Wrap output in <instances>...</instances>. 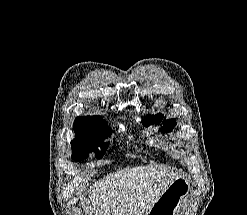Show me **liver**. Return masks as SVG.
Returning <instances> with one entry per match:
<instances>
[{"mask_svg": "<svg viewBox=\"0 0 247 215\" xmlns=\"http://www.w3.org/2000/svg\"><path fill=\"white\" fill-rule=\"evenodd\" d=\"M178 176L154 165L127 167L90 186L88 215H145ZM87 194V193H86Z\"/></svg>", "mask_w": 247, "mask_h": 215, "instance_id": "obj_1", "label": "liver"}]
</instances>
